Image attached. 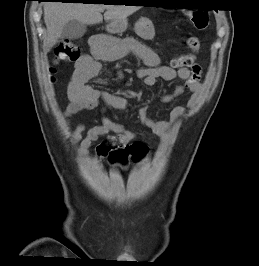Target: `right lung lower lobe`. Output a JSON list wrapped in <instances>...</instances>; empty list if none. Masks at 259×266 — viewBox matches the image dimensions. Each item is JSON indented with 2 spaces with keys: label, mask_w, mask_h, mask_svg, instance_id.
<instances>
[{
  "label": "right lung lower lobe",
  "mask_w": 259,
  "mask_h": 266,
  "mask_svg": "<svg viewBox=\"0 0 259 266\" xmlns=\"http://www.w3.org/2000/svg\"><path fill=\"white\" fill-rule=\"evenodd\" d=\"M39 1H41V0H39ZM57 1H62L63 2V1H67V0H57Z\"/></svg>",
  "instance_id": "1"
}]
</instances>
